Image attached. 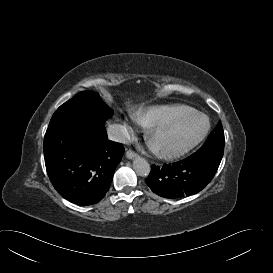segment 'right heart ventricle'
<instances>
[{"label":"right heart ventricle","instance_id":"1","mask_svg":"<svg viewBox=\"0 0 273 273\" xmlns=\"http://www.w3.org/2000/svg\"><path fill=\"white\" fill-rule=\"evenodd\" d=\"M193 109L186 105H164L154 107L146 113L136 114L135 118L145 128L170 124L183 117Z\"/></svg>","mask_w":273,"mask_h":273}]
</instances>
